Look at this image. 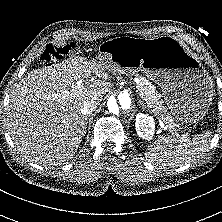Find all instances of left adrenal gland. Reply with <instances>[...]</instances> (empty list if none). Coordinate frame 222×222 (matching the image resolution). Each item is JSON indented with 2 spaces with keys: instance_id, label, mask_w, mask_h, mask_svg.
<instances>
[{
  "instance_id": "a2214340",
  "label": "left adrenal gland",
  "mask_w": 222,
  "mask_h": 222,
  "mask_svg": "<svg viewBox=\"0 0 222 222\" xmlns=\"http://www.w3.org/2000/svg\"><path fill=\"white\" fill-rule=\"evenodd\" d=\"M139 103L143 109H147V107L145 106V104L143 103V101L141 99L139 100Z\"/></svg>"
}]
</instances>
